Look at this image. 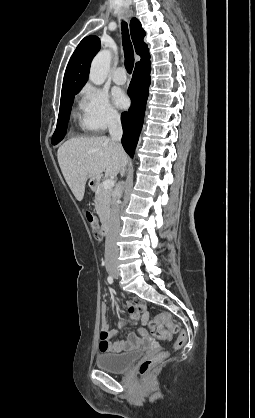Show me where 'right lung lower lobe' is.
Segmentation results:
<instances>
[{
	"label": "right lung lower lobe",
	"mask_w": 255,
	"mask_h": 418,
	"mask_svg": "<svg viewBox=\"0 0 255 418\" xmlns=\"http://www.w3.org/2000/svg\"><path fill=\"white\" fill-rule=\"evenodd\" d=\"M151 63L135 67L128 88L132 106L123 112L121 122L123 127L122 145L125 151L133 157L135 147L142 129L146 101L149 93Z\"/></svg>",
	"instance_id": "98d812e1"
}]
</instances>
